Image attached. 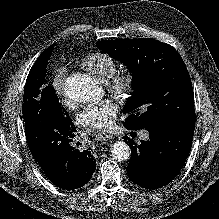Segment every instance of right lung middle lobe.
Returning a JSON list of instances; mask_svg holds the SVG:
<instances>
[{
    "mask_svg": "<svg viewBox=\"0 0 219 219\" xmlns=\"http://www.w3.org/2000/svg\"><path fill=\"white\" fill-rule=\"evenodd\" d=\"M54 45L52 44L43 51L29 72L23 95V117L27 121L42 111L59 116L64 124L69 125L72 124V120L62 103L59 102L54 88L43 86L46 67Z\"/></svg>",
    "mask_w": 219,
    "mask_h": 219,
    "instance_id": "dd1d6c3e",
    "label": "right lung middle lobe"
}]
</instances>
